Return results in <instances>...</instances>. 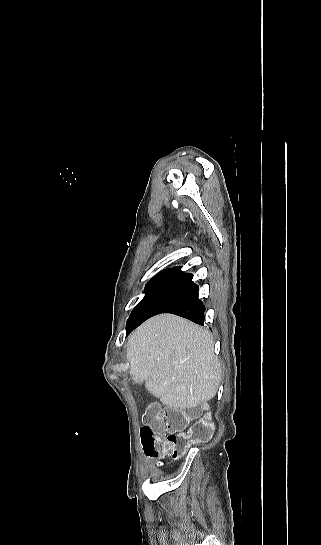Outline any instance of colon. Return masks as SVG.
Returning a JSON list of instances; mask_svg holds the SVG:
<instances>
[{
  "instance_id": "colon-1",
  "label": "colon",
  "mask_w": 321,
  "mask_h": 545,
  "mask_svg": "<svg viewBox=\"0 0 321 545\" xmlns=\"http://www.w3.org/2000/svg\"><path fill=\"white\" fill-rule=\"evenodd\" d=\"M192 422L190 428L185 430ZM215 426L208 414L200 409L162 408L157 403L147 405L140 429L143 450L149 457L170 454L174 459L183 456L193 444L209 441Z\"/></svg>"
}]
</instances>
